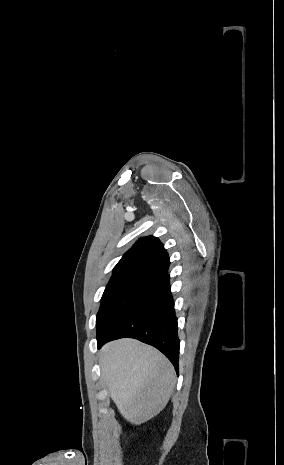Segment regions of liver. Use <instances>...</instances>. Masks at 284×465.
Segmentation results:
<instances>
[{"instance_id":"liver-1","label":"liver","mask_w":284,"mask_h":465,"mask_svg":"<svg viewBox=\"0 0 284 465\" xmlns=\"http://www.w3.org/2000/svg\"><path fill=\"white\" fill-rule=\"evenodd\" d=\"M99 363L104 385L126 421L141 425L165 409L176 381L170 361L157 349L120 339L103 347Z\"/></svg>"}]
</instances>
